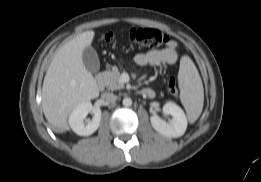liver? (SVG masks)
Instances as JSON below:
<instances>
[{"instance_id":"obj_1","label":"liver","mask_w":261,"mask_h":182,"mask_svg":"<svg viewBox=\"0 0 261 182\" xmlns=\"http://www.w3.org/2000/svg\"><path fill=\"white\" fill-rule=\"evenodd\" d=\"M94 35L92 30L83 32L62 46L46 72L42 109L47 121L61 132L69 129L67 117L76 106L99 96L96 81L82 60Z\"/></svg>"}]
</instances>
